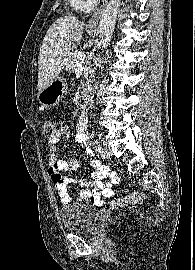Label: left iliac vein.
<instances>
[{"label":"left iliac vein","mask_w":195,"mask_h":270,"mask_svg":"<svg viewBox=\"0 0 195 270\" xmlns=\"http://www.w3.org/2000/svg\"><path fill=\"white\" fill-rule=\"evenodd\" d=\"M100 154H101V157L103 158V160H109L111 157L110 151L105 147H101Z\"/></svg>","instance_id":"1"}]
</instances>
